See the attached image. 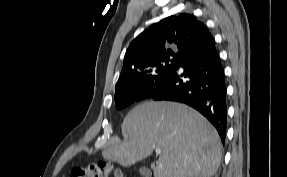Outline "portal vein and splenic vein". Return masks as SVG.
<instances>
[{
  "label": "portal vein and splenic vein",
  "instance_id": "1",
  "mask_svg": "<svg viewBox=\"0 0 287 177\" xmlns=\"http://www.w3.org/2000/svg\"><path fill=\"white\" fill-rule=\"evenodd\" d=\"M155 152L156 154H161V150L159 148H156Z\"/></svg>",
  "mask_w": 287,
  "mask_h": 177
}]
</instances>
